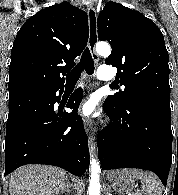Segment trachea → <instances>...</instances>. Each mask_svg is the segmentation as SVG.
I'll use <instances>...</instances> for the list:
<instances>
[{
  "mask_svg": "<svg viewBox=\"0 0 178 195\" xmlns=\"http://www.w3.org/2000/svg\"><path fill=\"white\" fill-rule=\"evenodd\" d=\"M94 63L90 51L86 48L81 56L80 62L77 66L66 75V82H77L81 72L85 70L88 75H92L94 73Z\"/></svg>",
  "mask_w": 178,
  "mask_h": 195,
  "instance_id": "obj_1",
  "label": "trachea"
}]
</instances>
